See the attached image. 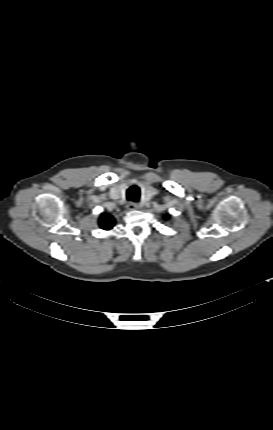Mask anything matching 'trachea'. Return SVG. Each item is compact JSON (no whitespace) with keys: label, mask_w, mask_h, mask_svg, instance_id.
Listing matches in <instances>:
<instances>
[{"label":"trachea","mask_w":273,"mask_h":430,"mask_svg":"<svg viewBox=\"0 0 273 430\" xmlns=\"http://www.w3.org/2000/svg\"><path fill=\"white\" fill-rule=\"evenodd\" d=\"M126 195L128 200L137 202L140 197V190L136 185H133L127 190Z\"/></svg>","instance_id":"3493384b"}]
</instances>
